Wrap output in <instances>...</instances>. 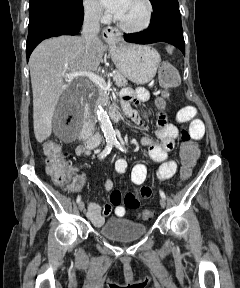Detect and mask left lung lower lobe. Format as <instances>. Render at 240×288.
I'll return each instance as SVG.
<instances>
[{"mask_svg":"<svg viewBox=\"0 0 240 288\" xmlns=\"http://www.w3.org/2000/svg\"><path fill=\"white\" fill-rule=\"evenodd\" d=\"M127 42L149 44L167 42L178 47L185 54V43L180 16L165 15L151 20L150 27L139 33L124 34Z\"/></svg>","mask_w":240,"mask_h":288,"instance_id":"1","label":"left lung lower lobe"}]
</instances>
